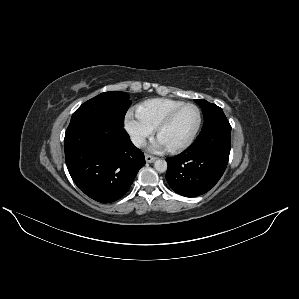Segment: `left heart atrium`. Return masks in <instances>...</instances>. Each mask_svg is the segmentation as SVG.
Masks as SVG:
<instances>
[{"label":"left heart atrium","mask_w":299,"mask_h":299,"mask_svg":"<svg viewBox=\"0 0 299 299\" xmlns=\"http://www.w3.org/2000/svg\"><path fill=\"white\" fill-rule=\"evenodd\" d=\"M167 147V144L159 137L158 140L153 144L152 149H163Z\"/></svg>","instance_id":"obj_1"}]
</instances>
